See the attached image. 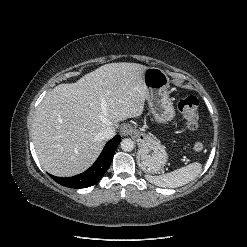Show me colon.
<instances>
[{"label":"colon","mask_w":247,"mask_h":247,"mask_svg":"<svg viewBox=\"0 0 247 247\" xmlns=\"http://www.w3.org/2000/svg\"><path fill=\"white\" fill-rule=\"evenodd\" d=\"M178 109L182 115L184 125L187 130L194 131L198 124L199 100L195 96H188L181 99L178 103ZM204 149L202 141H196L193 144V150L200 153Z\"/></svg>","instance_id":"colon-1"}]
</instances>
